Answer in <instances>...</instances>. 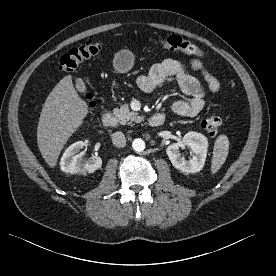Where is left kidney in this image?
<instances>
[{"label":"left kidney","instance_id":"left-kidney-1","mask_svg":"<svg viewBox=\"0 0 276 276\" xmlns=\"http://www.w3.org/2000/svg\"><path fill=\"white\" fill-rule=\"evenodd\" d=\"M185 147L194 153L190 160H186L181 156L179 149ZM207 149V138L201 133L191 131L185 134L181 141L169 145L166 153L176 169L185 173H197L205 164Z\"/></svg>","mask_w":276,"mask_h":276}]
</instances>
